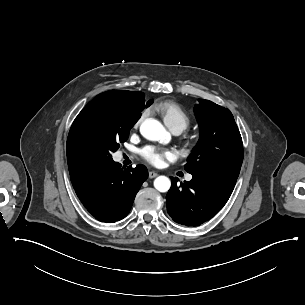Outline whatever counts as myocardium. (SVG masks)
I'll return each mask as SVG.
<instances>
[{
    "instance_id": "f54148a6",
    "label": "myocardium",
    "mask_w": 305,
    "mask_h": 305,
    "mask_svg": "<svg viewBox=\"0 0 305 305\" xmlns=\"http://www.w3.org/2000/svg\"><path fill=\"white\" fill-rule=\"evenodd\" d=\"M195 145H196V142L195 141H191V142H189L188 144H187V147H189V148H194L195 147Z\"/></svg>"
}]
</instances>
